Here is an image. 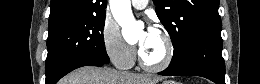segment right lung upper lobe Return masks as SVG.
<instances>
[{
    "label": "right lung upper lobe",
    "instance_id": "right-lung-upper-lobe-1",
    "mask_svg": "<svg viewBox=\"0 0 260 84\" xmlns=\"http://www.w3.org/2000/svg\"><path fill=\"white\" fill-rule=\"evenodd\" d=\"M107 0H51L49 28L105 13Z\"/></svg>",
    "mask_w": 260,
    "mask_h": 84
}]
</instances>
